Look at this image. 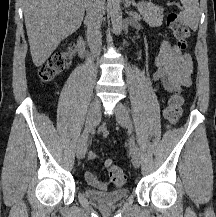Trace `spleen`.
<instances>
[{"mask_svg":"<svg viewBox=\"0 0 216 217\" xmlns=\"http://www.w3.org/2000/svg\"><path fill=\"white\" fill-rule=\"evenodd\" d=\"M184 11L179 13V17L192 30H196L200 18V9L198 0H180Z\"/></svg>","mask_w":216,"mask_h":217,"instance_id":"spleen-1","label":"spleen"}]
</instances>
